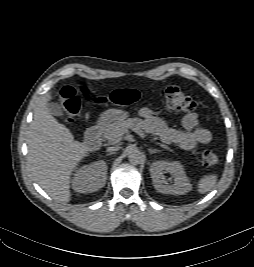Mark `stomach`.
<instances>
[{
  "mask_svg": "<svg viewBox=\"0 0 254 267\" xmlns=\"http://www.w3.org/2000/svg\"><path fill=\"white\" fill-rule=\"evenodd\" d=\"M128 117V113L121 109H109L103 112L100 116V121L104 125L114 123L117 121H123Z\"/></svg>",
  "mask_w": 254,
  "mask_h": 267,
  "instance_id": "stomach-1",
  "label": "stomach"
}]
</instances>
